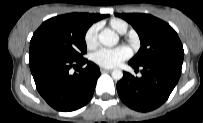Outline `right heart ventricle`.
I'll list each match as a JSON object with an SVG mask.
<instances>
[{
    "label": "right heart ventricle",
    "mask_w": 203,
    "mask_h": 123,
    "mask_svg": "<svg viewBox=\"0 0 203 123\" xmlns=\"http://www.w3.org/2000/svg\"><path fill=\"white\" fill-rule=\"evenodd\" d=\"M111 27L119 33H124L127 31L128 25L125 21L121 19H112L110 21Z\"/></svg>",
    "instance_id": "obj_1"
}]
</instances>
